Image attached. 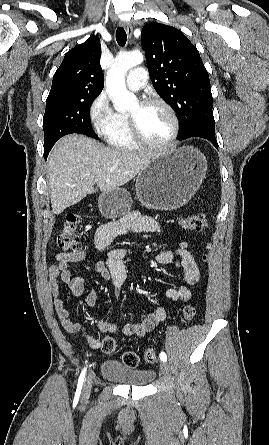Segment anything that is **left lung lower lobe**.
Masks as SVG:
<instances>
[{"mask_svg":"<svg viewBox=\"0 0 269 445\" xmlns=\"http://www.w3.org/2000/svg\"><path fill=\"white\" fill-rule=\"evenodd\" d=\"M190 137H201V138L207 139L216 148H218V144H217L216 137H215V132H194L190 135Z\"/></svg>","mask_w":269,"mask_h":445,"instance_id":"obj_1","label":"left lung lower lobe"}]
</instances>
